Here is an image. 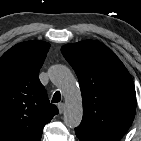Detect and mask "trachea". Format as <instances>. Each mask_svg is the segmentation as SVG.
<instances>
[{
    "label": "trachea",
    "instance_id": "3493384b",
    "mask_svg": "<svg viewBox=\"0 0 141 141\" xmlns=\"http://www.w3.org/2000/svg\"><path fill=\"white\" fill-rule=\"evenodd\" d=\"M60 99H61V94L59 91H56L54 93L53 98H52V103H58V102H60Z\"/></svg>",
    "mask_w": 141,
    "mask_h": 141
}]
</instances>
